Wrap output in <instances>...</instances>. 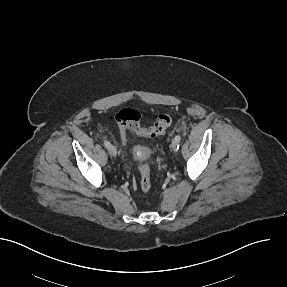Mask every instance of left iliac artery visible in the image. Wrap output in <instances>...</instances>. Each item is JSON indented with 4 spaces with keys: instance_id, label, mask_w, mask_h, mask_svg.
<instances>
[{
    "instance_id": "left-iliac-artery-1",
    "label": "left iliac artery",
    "mask_w": 287,
    "mask_h": 287,
    "mask_svg": "<svg viewBox=\"0 0 287 287\" xmlns=\"http://www.w3.org/2000/svg\"><path fill=\"white\" fill-rule=\"evenodd\" d=\"M174 139L177 141V143H179V142L181 141V136H180V135H177V136H175Z\"/></svg>"
}]
</instances>
